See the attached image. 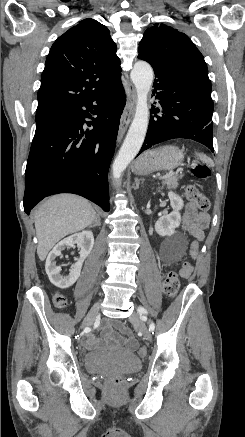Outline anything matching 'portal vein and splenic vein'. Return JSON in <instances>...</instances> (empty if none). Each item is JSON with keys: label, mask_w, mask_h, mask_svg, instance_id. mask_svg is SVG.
I'll list each match as a JSON object with an SVG mask.
<instances>
[{"label": "portal vein and splenic vein", "mask_w": 245, "mask_h": 437, "mask_svg": "<svg viewBox=\"0 0 245 437\" xmlns=\"http://www.w3.org/2000/svg\"><path fill=\"white\" fill-rule=\"evenodd\" d=\"M173 174H174L173 172H170V173H168V174H166V175L160 177V179L167 178V177H169V176H171V175H173Z\"/></svg>", "instance_id": "1"}]
</instances>
